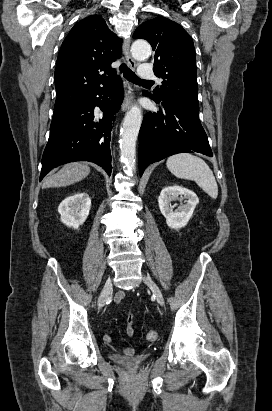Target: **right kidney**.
Segmentation results:
<instances>
[{"mask_svg": "<svg viewBox=\"0 0 272 411\" xmlns=\"http://www.w3.org/2000/svg\"><path fill=\"white\" fill-rule=\"evenodd\" d=\"M91 199L87 193L78 192L65 198L58 207L61 222L68 227L78 229L89 215Z\"/></svg>", "mask_w": 272, "mask_h": 411, "instance_id": "right-kidney-1", "label": "right kidney"}]
</instances>
